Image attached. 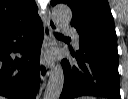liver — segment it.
<instances>
[{"label":"liver","instance_id":"obj_1","mask_svg":"<svg viewBox=\"0 0 128 99\" xmlns=\"http://www.w3.org/2000/svg\"><path fill=\"white\" fill-rule=\"evenodd\" d=\"M0 99H4V98L0 96Z\"/></svg>","mask_w":128,"mask_h":99}]
</instances>
